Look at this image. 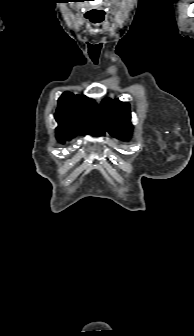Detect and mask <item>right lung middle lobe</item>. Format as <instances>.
Returning a JSON list of instances; mask_svg holds the SVG:
<instances>
[{
	"mask_svg": "<svg viewBox=\"0 0 194 336\" xmlns=\"http://www.w3.org/2000/svg\"><path fill=\"white\" fill-rule=\"evenodd\" d=\"M60 142H64V140H59Z\"/></svg>",
	"mask_w": 194,
	"mask_h": 336,
	"instance_id": "1",
	"label": "right lung middle lobe"
}]
</instances>
